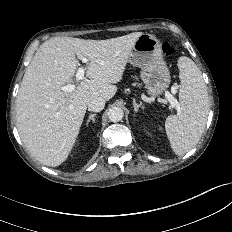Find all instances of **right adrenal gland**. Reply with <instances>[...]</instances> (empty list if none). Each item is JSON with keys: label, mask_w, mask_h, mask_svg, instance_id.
<instances>
[{"label": "right adrenal gland", "mask_w": 232, "mask_h": 232, "mask_svg": "<svg viewBox=\"0 0 232 232\" xmlns=\"http://www.w3.org/2000/svg\"><path fill=\"white\" fill-rule=\"evenodd\" d=\"M96 115H97V114H95V113L89 115L88 120H87V123H86L87 126H88V124H89L90 121H92L93 123H95V116H96Z\"/></svg>", "instance_id": "1"}]
</instances>
